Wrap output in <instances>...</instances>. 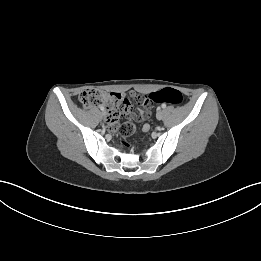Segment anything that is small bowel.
Here are the masks:
<instances>
[{
	"instance_id": "c3829d8e",
	"label": "small bowel",
	"mask_w": 261,
	"mask_h": 261,
	"mask_svg": "<svg viewBox=\"0 0 261 261\" xmlns=\"http://www.w3.org/2000/svg\"><path fill=\"white\" fill-rule=\"evenodd\" d=\"M128 96L132 97V99L138 103V104H144L146 107H149L151 105L152 99H149V97L146 94H135L134 90H129L128 91ZM135 117L140 120H144L148 117V112L147 111H139L138 113L135 114ZM144 130H148L149 126L147 124L144 125L143 127Z\"/></svg>"
}]
</instances>
